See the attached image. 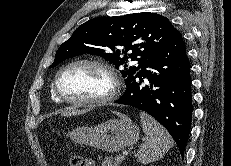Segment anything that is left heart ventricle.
<instances>
[{"instance_id": "b2bd125f", "label": "left heart ventricle", "mask_w": 231, "mask_h": 166, "mask_svg": "<svg viewBox=\"0 0 231 166\" xmlns=\"http://www.w3.org/2000/svg\"><path fill=\"white\" fill-rule=\"evenodd\" d=\"M111 87L109 76L92 65H77L67 69L59 78L62 94L70 99H90L105 95Z\"/></svg>"}]
</instances>
